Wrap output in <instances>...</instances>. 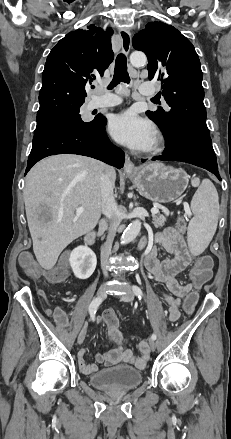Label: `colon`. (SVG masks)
Wrapping results in <instances>:
<instances>
[{
	"mask_svg": "<svg viewBox=\"0 0 231 439\" xmlns=\"http://www.w3.org/2000/svg\"><path fill=\"white\" fill-rule=\"evenodd\" d=\"M186 225L187 222L183 218L179 219L177 222V227L181 232L185 231ZM20 263L22 268L31 276L39 277L43 274L42 270L37 266L31 255H23L20 259ZM212 267L213 260L208 255H201L195 259L194 266L191 270L193 290L183 294V310L185 316H194L198 295H200L203 289L202 287L208 285L212 280ZM44 275L51 283L63 282L68 275L67 261L64 259L61 263L47 271Z\"/></svg>",
	"mask_w": 231,
	"mask_h": 439,
	"instance_id": "5ec220e1",
	"label": "colon"
}]
</instances>
